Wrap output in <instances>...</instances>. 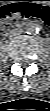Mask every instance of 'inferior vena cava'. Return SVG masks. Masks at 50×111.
I'll use <instances>...</instances> for the list:
<instances>
[{"label":"inferior vena cava","instance_id":"obj_1","mask_svg":"<svg viewBox=\"0 0 50 111\" xmlns=\"http://www.w3.org/2000/svg\"><path fill=\"white\" fill-rule=\"evenodd\" d=\"M23 33V29L22 28H14L11 30L10 34L12 36H16V35H20Z\"/></svg>","mask_w":50,"mask_h":111}]
</instances>
